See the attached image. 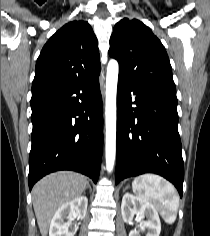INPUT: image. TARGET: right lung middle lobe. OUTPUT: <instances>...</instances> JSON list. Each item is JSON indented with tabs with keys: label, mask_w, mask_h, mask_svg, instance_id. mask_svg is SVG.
Returning a JSON list of instances; mask_svg holds the SVG:
<instances>
[{
	"label": "right lung middle lobe",
	"mask_w": 210,
	"mask_h": 236,
	"mask_svg": "<svg viewBox=\"0 0 210 236\" xmlns=\"http://www.w3.org/2000/svg\"><path fill=\"white\" fill-rule=\"evenodd\" d=\"M57 92L58 91H55L52 89H39V90L33 91L32 98H31V104H33L43 98L52 96V95L56 94Z\"/></svg>",
	"instance_id": "dd1d6c3e"
}]
</instances>
